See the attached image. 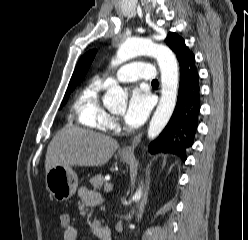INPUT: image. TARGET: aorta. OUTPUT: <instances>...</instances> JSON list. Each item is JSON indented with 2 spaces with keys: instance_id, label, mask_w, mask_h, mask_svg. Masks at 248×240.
<instances>
[{
  "instance_id": "obj_1",
  "label": "aorta",
  "mask_w": 248,
  "mask_h": 240,
  "mask_svg": "<svg viewBox=\"0 0 248 240\" xmlns=\"http://www.w3.org/2000/svg\"><path fill=\"white\" fill-rule=\"evenodd\" d=\"M141 55L155 57L161 71V97L148 128V138L154 139L167 125L176 106L179 84L178 64L175 55L166 46L156 44L150 39L134 38L125 41L119 47L112 65H119ZM107 83L109 86L103 99L104 104L109 108L125 105L126 92L112 78H109ZM141 195L142 189L139 188L134 199L139 201Z\"/></svg>"
}]
</instances>
